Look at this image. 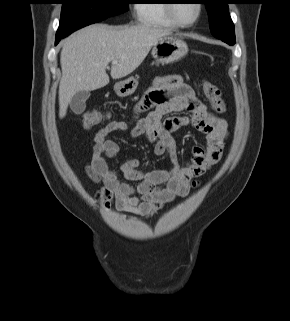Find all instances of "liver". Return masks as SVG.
<instances>
[{"label": "liver", "instance_id": "obj_1", "mask_svg": "<svg viewBox=\"0 0 290 321\" xmlns=\"http://www.w3.org/2000/svg\"><path fill=\"white\" fill-rule=\"evenodd\" d=\"M170 30L148 25L109 26L93 24L78 30L63 42L60 55L59 117L66 116L73 96L106 86L111 77L121 79L144 61L151 47Z\"/></svg>", "mask_w": 290, "mask_h": 321}]
</instances>
